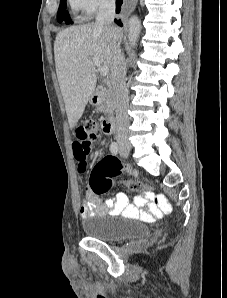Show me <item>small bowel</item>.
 <instances>
[{
  "instance_id": "small-bowel-1",
  "label": "small bowel",
  "mask_w": 227,
  "mask_h": 298,
  "mask_svg": "<svg viewBox=\"0 0 227 298\" xmlns=\"http://www.w3.org/2000/svg\"><path fill=\"white\" fill-rule=\"evenodd\" d=\"M70 144H72L74 151L72 158L77 160V170L79 173H84L87 167L86 158L90 155V151L93 150L94 142H81V139H70ZM140 192L141 194L136 197L135 203L132 204L123 192H118L114 198L102 202L99 195L93 193L91 189H88L80 206V217L85 220L97 214H108L151 221L156 217H161L163 212L170 210L168 204L163 210L155 205L154 199L157 195L151 190ZM140 207L145 208L139 209Z\"/></svg>"
}]
</instances>
